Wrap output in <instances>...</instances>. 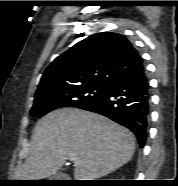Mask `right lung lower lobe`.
Instances as JSON below:
<instances>
[{"label":"right lung lower lobe","instance_id":"right-lung-lower-lobe-1","mask_svg":"<svg viewBox=\"0 0 178 186\" xmlns=\"http://www.w3.org/2000/svg\"><path fill=\"white\" fill-rule=\"evenodd\" d=\"M78 108L101 114L127 127L143 147L150 114L149 83L144 65L118 76L104 93Z\"/></svg>","mask_w":178,"mask_h":186}]
</instances>
